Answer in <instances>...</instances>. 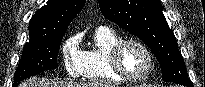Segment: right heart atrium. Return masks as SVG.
I'll list each match as a JSON object with an SVG mask.
<instances>
[{"label":"right heart atrium","mask_w":205,"mask_h":87,"mask_svg":"<svg viewBox=\"0 0 205 87\" xmlns=\"http://www.w3.org/2000/svg\"><path fill=\"white\" fill-rule=\"evenodd\" d=\"M63 63L66 71L71 76H77L81 72L83 57L78 48L77 38L71 37L62 46Z\"/></svg>","instance_id":"1"}]
</instances>
